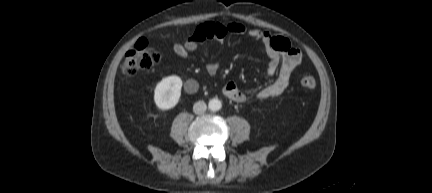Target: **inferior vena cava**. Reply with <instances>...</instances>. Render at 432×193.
I'll return each instance as SVG.
<instances>
[{
  "label": "inferior vena cava",
  "mask_w": 432,
  "mask_h": 193,
  "mask_svg": "<svg viewBox=\"0 0 432 193\" xmlns=\"http://www.w3.org/2000/svg\"><path fill=\"white\" fill-rule=\"evenodd\" d=\"M207 105L204 101H198L193 106V112L195 114H202L206 111Z\"/></svg>",
  "instance_id": "inferior-vena-cava-1"
}]
</instances>
